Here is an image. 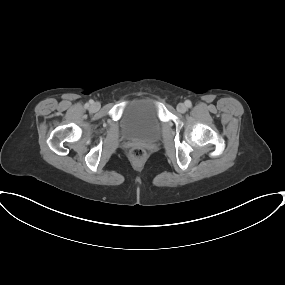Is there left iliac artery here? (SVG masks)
Wrapping results in <instances>:
<instances>
[{"label":"left iliac artery","mask_w":285,"mask_h":285,"mask_svg":"<svg viewBox=\"0 0 285 285\" xmlns=\"http://www.w3.org/2000/svg\"><path fill=\"white\" fill-rule=\"evenodd\" d=\"M185 105L190 108L192 106V103L190 100H186Z\"/></svg>","instance_id":"left-iliac-artery-1"}]
</instances>
